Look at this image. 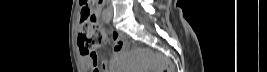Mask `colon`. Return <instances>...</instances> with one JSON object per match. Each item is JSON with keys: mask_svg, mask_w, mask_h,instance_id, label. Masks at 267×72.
<instances>
[{"mask_svg": "<svg viewBox=\"0 0 267 72\" xmlns=\"http://www.w3.org/2000/svg\"><path fill=\"white\" fill-rule=\"evenodd\" d=\"M102 2V0L81 1V24L85 33L79 36L78 46L83 54L94 53V47L102 44L106 39V33L100 27L97 18V7ZM172 71L171 63L165 61L162 66V72Z\"/></svg>", "mask_w": 267, "mask_h": 72, "instance_id": "obj_1", "label": "colon"}]
</instances>
